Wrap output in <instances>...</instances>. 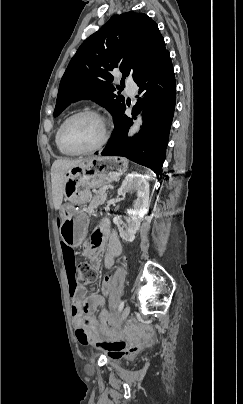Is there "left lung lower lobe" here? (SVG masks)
<instances>
[{
    "instance_id": "0a47b994",
    "label": "left lung lower lobe",
    "mask_w": 243,
    "mask_h": 404,
    "mask_svg": "<svg viewBox=\"0 0 243 404\" xmlns=\"http://www.w3.org/2000/svg\"><path fill=\"white\" fill-rule=\"evenodd\" d=\"M140 87L136 106L143 108V126L139 133L127 139L132 118L138 114L136 107L132 118L124 115L115 122L108 143L99 154L124 156L152 169L157 176L165 160L169 131L173 119L176 84L169 52H166L145 74L135 81Z\"/></svg>"
}]
</instances>
